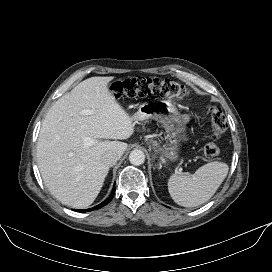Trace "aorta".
<instances>
[{
	"label": "aorta",
	"instance_id": "762f6f07",
	"mask_svg": "<svg viewBox=\"0 0 272 272\" xmlns=\"http://www.w3.org/2000/svg\"><path fill=\"white\" fill-rule=\"evenodd\" d=\"M129 161L135 166L141 165L145 161V154L141 150H133L129 155Z\"/></svg>",
	"mask_w": 272,
	"mask_h": 272
}]
</instances>
